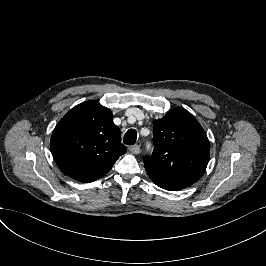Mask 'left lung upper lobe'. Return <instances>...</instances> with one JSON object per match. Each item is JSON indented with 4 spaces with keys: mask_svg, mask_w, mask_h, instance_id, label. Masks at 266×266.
Returning a JSON list of instances; mask_svg holds the SVG:
<instances>
[{
    "mask_svg": "<svg viewBox=\"0 0 266 266\" xmlns=\"http://www.w3.org/2000/svg\"><path fill=\"white\" fill-rule=\"evenodd\" d=\"M154 150L144 157L151 179L184 189L204 173L210 154L207 135L195 117L175 108L153 122Z\"/></svg>",
    "mask_w": 266,
    "mask_h": 266,
    "instance_id": "obj_1",
    "label": "left lung upper lobe"
}]
</instances>
